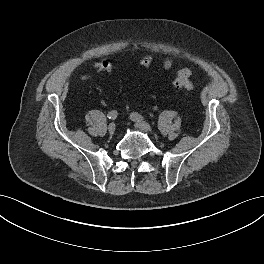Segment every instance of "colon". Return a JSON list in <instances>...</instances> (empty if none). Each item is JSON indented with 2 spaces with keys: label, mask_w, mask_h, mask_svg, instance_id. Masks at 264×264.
I'll use <instances>...</instances> for the list:
<instances>
[{
  "label": "colon",
  "mask_w": 264,
  "mask_h": 264,
  "mask_svg": "<svg viewBox=\"0 0 264 264\" xmlns=\"http://www.w3.org/2000/svg\"><path fill=\"white\" fill-rule=\"evenodd\" d=\"M153 62V58L151 56H145L141 59L140 64L141 66L148 68L151 66ZM97 69L101 71L109 72L112 69V64L110 61H101L97 64ZM192 72L190 69L183 68L179 70L177 76L174 78L172 85L176 89H185L191 90L193 88V84L190 80Z\"/></svg>",
  "instance_id": "colon-1"
}]
</instances>
